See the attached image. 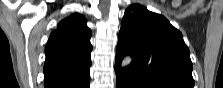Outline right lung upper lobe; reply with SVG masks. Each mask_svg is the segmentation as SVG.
Segmentation results:
<instances>
[{
	"label": "right lung upper lobe",
	"mask_w": 223,
	"mask_h": 88,
	"mask_svg": "<svg viewBox=\"0 0 223 88\" xmlns=\"http://www.w3.org/2000/svg\"><path fill=\"white\" fill-rule=\"evenodd\" d=\"M91 30L78 14L62 20L45 47V88H80L90 80Z\"/></svg>",
	"instance_id": "obj_1"
}]
</instances>
